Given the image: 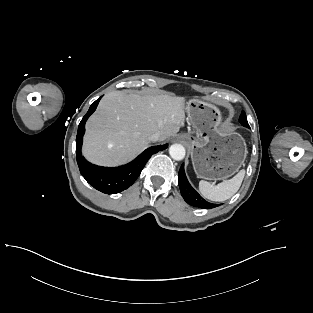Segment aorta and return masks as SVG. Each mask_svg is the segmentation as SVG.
Segmentation results:
<instances>
[{
  "instance_id": "762f6f07",
  "label": "aorta",
  "mask_w": 313,
  "mask_h": 313,
  "mask_svg": "<svg viewBox=\"0 0 313 313\" xmlns=\"http://www.w3.org/2000/svg\"><path fill=\"white\" fill-rule=\"evenodd\" d=\"M185 148L181 144H173L169 148V154L172 159L180 161L185 157Z\"/></svg>"
}]
</instances>
